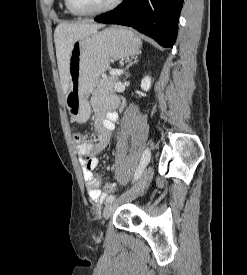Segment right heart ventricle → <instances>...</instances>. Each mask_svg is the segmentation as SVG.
<instances>
[{
	"mask_svg": "<svg viewBox=\"0 0 247 275\" xmlns=\"http://www.w3.org/2000/svg\"><path fill=\"white\" fill-rule=\"evenodd\" d=\"M65 5V13L68 15H73V13L67 8L66 4Z\"/></svg>",
	"mask_w": 247,
	"mask_h": 275,
	"instance_id": "e07e8e85",
	"label": "right heart ventricle"
}]
</instances>
